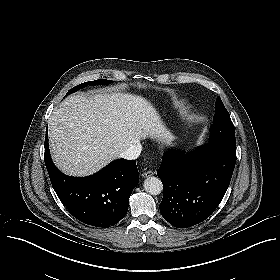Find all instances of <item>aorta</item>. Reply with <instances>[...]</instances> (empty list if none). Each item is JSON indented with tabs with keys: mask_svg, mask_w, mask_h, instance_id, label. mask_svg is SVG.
Here are the masks:
<instances>
[{
	"mask_svg": "<svg viewBox=\"0 0 280 280\" xmlns=\"http://www.w3.org/2000/svg\"><path fill=\"white\" fill-rule=\"evenodd\" d=\"M144 189L151 195H158L163 190L162 181L157 177H148L143 183Z\"/></svg>",
	"mask_w": 280,
	"mask_h": 280,
	"instance_id": "obj_1",
	"label": "aorta"
}]
</instances>
